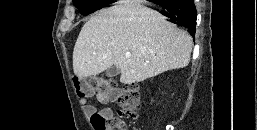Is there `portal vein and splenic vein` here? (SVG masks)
<instances>
[{
	"mask_svg": "<svg viewBox=\"0 0 257 130\" xmlns=\"http://www.w3.org/2000/svg\"><path fill=\"white\" fill-rule=\"evenodd\" d=\"M125 57H126V58H130V57H131V54H130V53H126V54H125Z\"/></svg>",
	"mask_w": 257,
	"mask_h": 130,
	"instance_id": "portal-vein-and-splenic-vein-1",
	"label": "portal vein and splenic vein"
}]
</instances>
